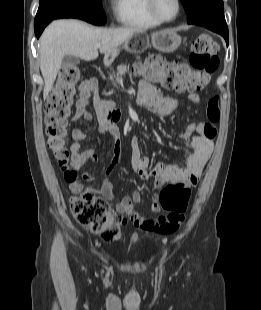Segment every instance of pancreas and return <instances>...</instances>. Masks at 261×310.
Returning <instances> with one entry per match:
<instances>
[{"label": "pancreas", "instance_id": "cf45deb5", "mask_svg": "<svg viewBox=\"0 0 261 310\" xmlns=\"http://www.w3.org/2000/svg\"><path fill=\"white\" fill-rule=\"evenodd\" d=\"M127 66L126 65H119L117 67V75L116 76H110V79L113 81L114 85H116V83H118L119 85L123 84V78L122 76L125 75V73L127 72ZM115 78V81H114Z\"/></svg>", "mask_w": 261, "mask_h": 310}]
</instances>
